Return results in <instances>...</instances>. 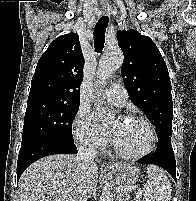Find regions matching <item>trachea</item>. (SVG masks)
<instances>
[{
  "instance_id": "1",
  "label": "trachea",
  "mask_w": 196,
  "mask_h": 201,
  "mask_svg": "<svg viewBox=\"0 0 196 201\" xmlns=\"http://www.w3.org/2000/svg\"><path fill=\"white\" fill-rule=\"evenodd\" d=\"M109 17L102 16L94 28V46L97 53L102 52L105 44V32L108 26Z\"/></svg>"
}]
</instances>
